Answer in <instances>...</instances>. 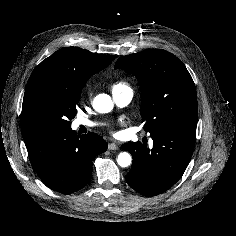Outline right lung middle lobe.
I'll return each mask as SVG.
<instances>
[{
	"label": "right lung middle lobe",
	"instance_id": "1",
	"mask_svg": "<svg viewBox=\"0 0 236 236\" xmlns=\"http://www.w3.org/2000/svg\"><path fill=\"white\" fill-rule=\"evenodd\" d=\"M80 95L81 90L73 91L42 81L26 86L21 113L22 135L71 129L70 121L77 113Z\"/></svg>",
	"mask_w": 236,
	"mask_h": 236
}]
</instances>
